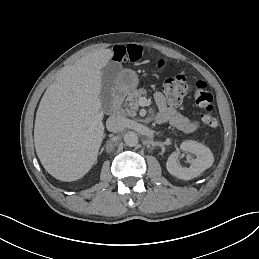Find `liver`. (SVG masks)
<instances>
[{
	"mask_svg": "<svg viewBox=\"0 0 259 259\" xmlns=\"http://www.w3.org/2000/svg\"><path fill=\"white\" fill-rule=\"evenodd\" d=\"M111 49L87 53L65 67L45 91L35 119L36 153L53 177L82 178L97 162L104 125L101 109V70L112 59Z\"/></svg>",
	"mask_w": 259,
	"mask_h": 259,
	"instance_id": "1",
	"label": "liver"
}]
</instances>
